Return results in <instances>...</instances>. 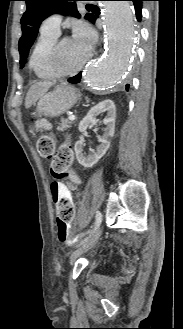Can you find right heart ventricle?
<instances>
[{
  "instance_id": "obj_1",
  "label": "right heart ventricle",
  "mask_w": 183,
  "mask_h": 329,
  "mask_svg": "<svg viewBox=\"0 0 183 329\" xmlns=\"http://www.w3.org/2000/svg\"><path fill=\"white\" fill-rule=\"evenodd\" d=\"M57 38L58 34L40 31L32 48L29 67L39 79L51 80L56 77L49 66V54Z\"/></svg>"
}]
</instances>
